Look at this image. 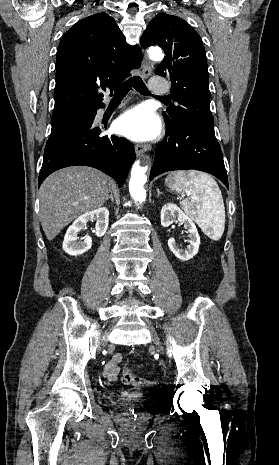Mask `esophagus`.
I'll list each match as a JSON object with an SVG mask.
<instances>
[{
	"mask_svg": "<svg viewBox=\"0 0 279 465\" xmlns=\"http://www.w3.org/2000/svg\"><path fill=\"white\" fill-rule=\"evenodd\" d=\"M151 74V68L144 62L142 64V71H141V75L143 78H148ZM151 149V146L150 145H147V144H137L135 145V152H136V155L137 156H141L142 154H144L145 152L149 151Z\"/></svg>",
	"mask_w": 279,
	"mask_h": 465,
	"instance_id": "esophagus-1",
	"label": "esophagus"
}]
</instances>
